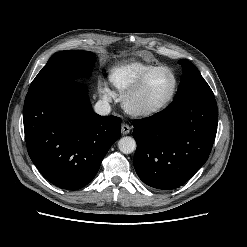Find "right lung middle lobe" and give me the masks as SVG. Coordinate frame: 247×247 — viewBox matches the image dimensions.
<instances>
[{"label":"right lung middle lobe","instance_id":"obj_1","mask_svg":"<svg viewBox=\"0 0 247 247\" xmlns=\"http://www.w3.org/2000/svg\"><path fill=\"white\" fill-rule=\"evenodd\" d=\"M95 62L92 52L61 51L53 55L31 83L29 90L53 83L77 81L90 76Z\"/></svg>","mask_w":247,"mask_h":247}]
</instances>
